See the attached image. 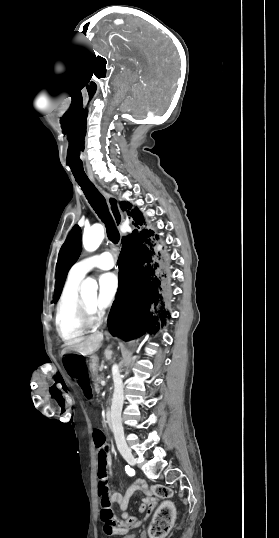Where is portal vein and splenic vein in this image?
<instances>
[{
  "label": "portal vein and splenic vein",
  "instance_id": "portal-vein-and-splenic-vein-1",
  "mask_svg": "<svg viewBox=\"0 0 279 538\" xmlns=\"http://www.w3.org/2000/svg\"><path fill=\"white\" fill-rule=\"evenodd\" d=\"M102 385H106V380H103Z\"/></svg>",
  "mask_w": 279,
  "mask_h": 538
}]
</instances>
